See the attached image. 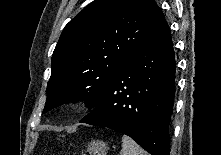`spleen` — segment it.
Returning a JSON list of instances; mask_svg holds the SVG:
<instances>
[{
  "label": "spleen",
  "instance_id": "spleen-1",
  "mask_svg": "<svg viewBox=\"0 0 221 155\" xmlns=\"http://www.w3.org/2000/svg\"><path fill=\"white\" fill-rule=\"evenodd\" d=\"M120 155H147V153L133 139L123 135Z\"/></svg>",
  "mask_w": 221,
  "mask_h": 155
}]
</instances>
